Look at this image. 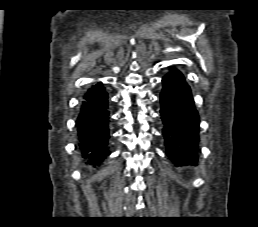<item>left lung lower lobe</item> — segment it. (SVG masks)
Instances as JSON below:
<instances>
[{"label": "left lung lower lobe", "mask_w": 258, "mask_h": 227, "mask_svg": "<svg viewBox=\"0 0 258 227\" xmlns=\"http://www.w3.org/2000/svg\"><path fill=\"white\" fill-rule=\"evenodd\" d=\"M162 84L159 99L166 153L176 165L194 164L198 161L199 116L191 89L175 68L163 77Z\"/></svg>", "instance_id": "obj_1"}]
</instances>
